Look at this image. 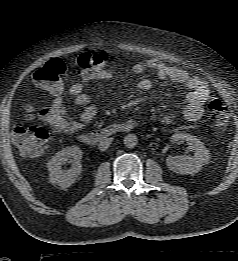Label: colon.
Returning <instances> with one entry per match:
<instances>
[{"mask_svg":"<svg viewBox=\"0 0 238 261\" xmlns=\"http://www.w3.org/2000/svg\"><path fill=\"white\" fill-rule=\"evenodd\" d=\"M107 61L108 55L105 52L87 51L78 57L77 64L84 71L93 72L100 70ZM65 72L64 62L52 59L34 73L33 79L40 87L52 93H59L62 90ZM27 112L30 119L36 116L45 119L46 111L35 113L32 107H28ZM207 115L214 133L223 134L228 122L226 105L219 99H212L207 105ZM12 139L22 155L35 157L40 155L49 143L51 134L39 125L17 124L13 128Z\"/></svg>","mask_w":238,"mask_h":261,"instance_id":"5ec220e1","label":"colon"}]
</instances>
